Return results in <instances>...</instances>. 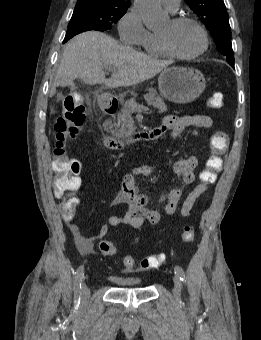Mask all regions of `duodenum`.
Returning <instances> with one entry per match:
<instances>
[{"label": "duodenum", "instance_id": "410a0bca", "mask_svg": "<svg viewBox=\"0 0 261 340\" xmlns=\"http://www.w3.org/2000/svg\"><path fill=\"white\" fill-rule=\"evenodd\" d=\"M118 108V102L115 100H109L102 103V110L107 114H113L116 112ZM156 129L146 130L143 132H137L132 135L127 141H122L114 136H112L108 131H105L103 136V143L109 149L120 151L123 150L125 147L133 144L134 142L145 139L147 141H151L155 138Z\"/></svg>", "mask_w": 261, "mask_h": 340}]
</instances>
